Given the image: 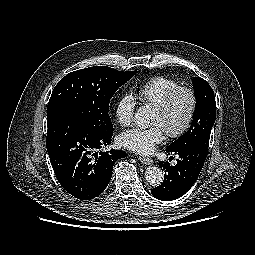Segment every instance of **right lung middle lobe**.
Instances as JSON below:
<instances>
[{
	"label": "right lung middle lobe",
	"mask_w": 255,
	"mask_h": 255,
	"mask_svg": "<svg viewBox=\"0 0 255 255\" xmlns=\"http://www.w3.org/2000/svg\"><path fill=\"white\" fill-rule=\"evenodd\" d=\"M136 71H118L107 66H94L67 74L55 86L47 117L58 110L77 116L98 133H112L109 103L112 96Z\"/></svg>",
	"instance_id": "obj_1"
}]
</instances>
